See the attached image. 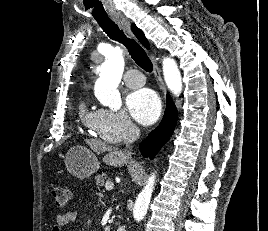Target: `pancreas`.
Instances as JSON below:
<instances>
[{
  "label": "pancreas",
  "instance_id": "1",
  "mask_svg": "<svg viewBox=\"0 0 268 231\" xmlns=\"http://www.w3.org/2000/svg\"><path fill=\"white\" fill-rule=\"evenodd\" d=\"M109 181L107 178V175L105 173H102L101 175H97L95 177L96 185L103 186L105 182Z\"/></svg>",
  "mask_w": 268,
  "mask_h": 231
}]
</instances>
